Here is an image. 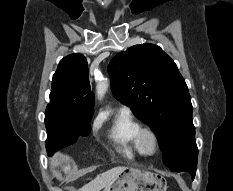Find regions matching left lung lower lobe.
Wrapping results in <instances>:
<instances>
[{
  "label": "left lung lower lobe",
  "instance_id": "left-lung-lower-lobe-1",
  "mask_svg": "<svg viewBox=\"0 0 233 191\" xmlns=\"http://www.w3.org/2000/svg\"><path fill=\"white\" fill-rule=\"evenodd\" d=\"M196 166H197V163H186V164H183L171 171L173 172H182V171H187L191 174V177L192 179L195 178V174H196Z\"/></svg>",
  "mask_w": 233,
  "mask_h": 191
}]
</instances>
